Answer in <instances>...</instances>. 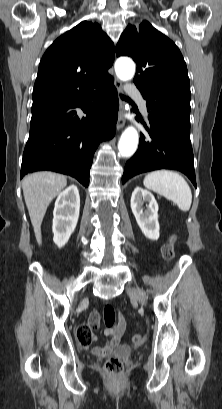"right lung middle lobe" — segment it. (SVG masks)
I'll use <instances>...</instances> for the list:
<instances>
[{
  "label": "right lung middle lobe",
  "mask_w": 222,
  "mask_h": 409,
  "mask_svg": "<svg viewBox=\"0 0 222 409\" xmlns=\"http://www.w3.org/2000/svg\"><path fill=\"white\" fill-rule=\"evenodd\" d=\"M36 110H37V109H32V112H33V111H36Z\"/></svg>",
  "instance_id": "1"
}]
</instances>
